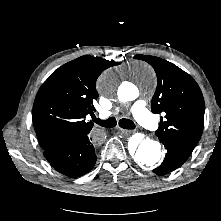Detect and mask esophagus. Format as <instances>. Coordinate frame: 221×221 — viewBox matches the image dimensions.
I'll use <instances>...</instances> for the list:
<instances>
[{"label": "esophagus", "mask_w": 221, "mask_h": 221, "mask_svg": "<svg viewBox=\"0 0 221 221\" xmlns=\"http://www.w3.org/2000/svg\"><path fill=\"white\" fill-rule=\"evenodd\" d=\"M118 129H119V131H121L122 133L127 134V135L131 133L130 130H125V129H122V128H118Z\"/></svg>", "instance_id": "1"}]
</instances>
